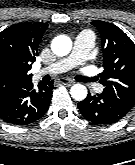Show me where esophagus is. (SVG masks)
Wrapping results in <instances>:
<instances>
[{
    "instance_id": "1",
    "label": "esophagus",
    "mask_w": 135,
    "mask_h": 165,
    "mask_svg": "<svg viewBox=\"0 0 135 165\" xmlns=\"http://www.w3.org/2000/svg\"><path fill=\"white\" fill-rule=\"evenodd\" d=\"M59 82L63 85H67V86H70L73 84V81L70 79H67V78H60Z\"/></svg>"
}]
</instances>
